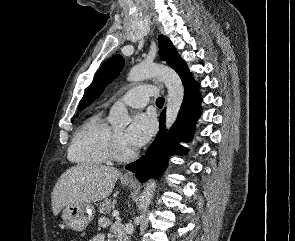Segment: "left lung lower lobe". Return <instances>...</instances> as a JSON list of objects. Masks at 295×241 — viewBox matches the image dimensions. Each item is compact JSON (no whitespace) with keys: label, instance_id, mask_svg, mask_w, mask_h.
Listing matches in <instances>:
<instances>
[{"label":"left lung lower lobe","instance_id":"left-lung-lower-lobe-1","mask_svg":"<svg viewBox=\"0 0 295 241\" xmlns=\"http://www.w3.org/2000/svg\"><path fill=\"white\" fill-rule=\"evenodd\" d=\"M184 101L180 109L176 124L171 132H165V110L160 116V132L148 148L146 155L126 166L134 172L136 177L145 182L151 176H158L167 165V160L173 153L183 154L185 151L179 146L180 141H187L192 137L198 112H200L201 96L197 95L198 83L189 76L183 81Z\"/></svg>","mask_w":295,"mask_h":241}]
</instances>
